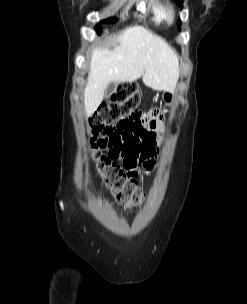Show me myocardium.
Returning <instances> with one entry per match:
<instances>
[{"mask_svg": "<svg viewBox=\"0 0 247 304\" xmlns=\"http://www.w3.org/2000/svg\"><path fill=\"white\" fill-rule=\"evenodd\" d=\"M166 20L169 24H172L175 20V13L173 7H169L166 10Z\"/></svg>", "mask_w": 247, "mask_h": 304, "instance_id": "f54148a6", "label": "myocardium"}]
</instances>
